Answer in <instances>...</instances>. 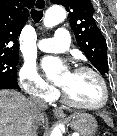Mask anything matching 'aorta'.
<instances>
[{
    "label": "aorta",
    "instance_id": "obj_1",
    "mask_svg": "<svg viewBox=\"0 0 117 136\" xmlns=\"http://www.w3.org/2000/svg\"><path fill=\"white\" fill-rule=\"evenodd\" d=\"M65 18L66 11L64 8L61 6H53L46 11L43 24L47 28H52L64 21ZM61 129L62 125L55 127L51 132V136H62Z\"/></svg>",
    "mask_w": 117,
    "mask_h": 136
}]
</instances>
